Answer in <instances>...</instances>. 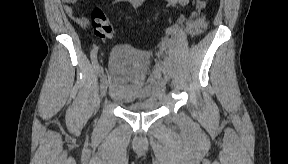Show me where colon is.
<instances>
[{
  "label": "colon",
  "instance_id": "colon-1",
  "mask_svg": "<svg viewBox=\"0 0 288 164\" xmlns=\"http://www.w3.org/2000/svg\"><path fill=\"white\" fill-rule=\"evenodd\" d=\"M88 22L89 27L92 28L96 37L107 40H112L114 38L113 28L108 23L105 13L99 7L93 8Z\"/></svg>",
  "mask_w": 288,
  "mask_h": 164
}]
</instances>
